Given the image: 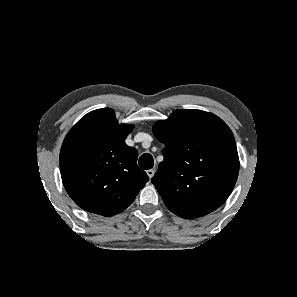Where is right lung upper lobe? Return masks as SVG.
Instances as JSON below:
<instances>
[{
	"label": "right lung upper lobe",
	"mask_w": 297,
	"mask_h": 297,
	"mask_svg": "<svg viewBox=\"0 0 297 297\" xmlns=\"http://www.w3.org/2000/svg\"><path fill=\"white\" fill-rule=\"evenodd\" d=\"M133 125L118 124L114 111L86 114L69 131L60 151L64 187L82 209L112 216L125 210L149 180L125 139Z\"/></svg>",
	"instance_id": "1"
}]
</instances>
